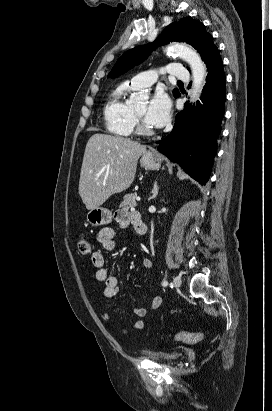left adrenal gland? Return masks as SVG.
Masks as SVG:
<instances>
[{
  "label": "left adrenal gland",
  "mask_w": 272,
  "mask_h": 411,
  "mask_svg": "<svg viewBox=\"0 0 272 411\" xmlns=\"http://www.w3.org/2000/svg\"><path fill=\"white\" fill-rule=\"evenodd\" d=\"M158 190H159V188H158L157 180H156L155 183H154L153 190H152V196H150L149 200L154 199L157 196Z\"/></svg>",
  "instance_id": "left-adrenal-gland-1"
}]
</instances>
